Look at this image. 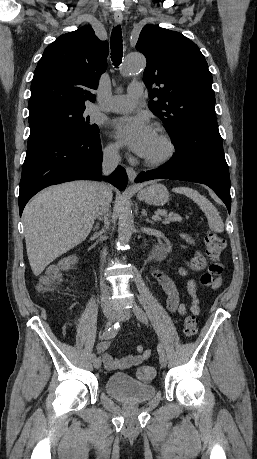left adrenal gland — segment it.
Wrapping results in <instances>:
<instances>
[{
	"instance_id": "obj_1",
	"label": "left adrenal gland",
	"mask_w": 257,
	"mask_h": 459,
	"mask_svg": "<svg viewBox=\"0 0 257 459\" xmlns=\"http://www.w3.org/2000/svg\"><path fill=\"white\" fill-rule=\"evenodd\" d=\"M144 214H145V210L143 209V210H142V216H143ZM146 222H147V223H150V224H152V225L154 224V221H153V220H150L149 218H146Z\"/></svg>"
}]
</instances>
